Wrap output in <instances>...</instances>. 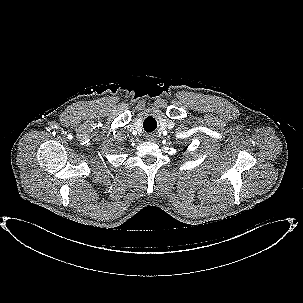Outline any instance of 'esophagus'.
I'll return each instance as SVG.
<instances>
[{
  "mask_svg": "<svg viewBox=\"0 0 303 303\" xmlns=\"http://www.w3.org/2000/svg\"><path fill=\"white\" fill-rule=\"evenodd\" d=\"M154 137L151 135H148V140H152Z\"/></svg>",
  "mask_w": 303,
  "mask_h": 303,
  "instance_id": "34e87169",
  "label": "esophagus"
}]
</instances>
